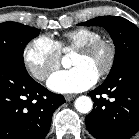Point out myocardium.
<instances>
[{
    "mask_svg": "<svg viewBox=\"0 0 139 139\" xmlns=\"http://www.w3.org/2000/svg\"><path fill=\"white\" fill-rule=\"evenodd\" d=\"M102 48L106 50L107 57L104 66L98 73V77L100 78L108 75L115 64L116 48L112 41L100 37L77 48V52L83 54H92Z\"/></svg>",
    "mask_w": 139,
    "mask_h": 139,
    "instance_id": "obj_1",
    "label": "myocardium"
}]
</instances>
